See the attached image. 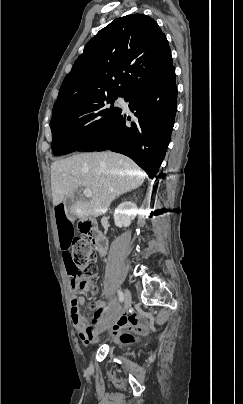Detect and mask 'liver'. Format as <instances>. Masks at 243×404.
Here are the masks:
<instances>
[{
	"label": "liver",
	"instance_id": "1",
	"mask_svg": "<svg viewBox=\"0 0 243 404\" xmlns=\"http://www.w3.org/2000/svg\"><path fill=\"white\" fill-rule=\"evenodd\" d=\"M146 178L130 158L114 152L77 154L51 166V190L54 206L72 196L79 186L93 192L91 202H75L72 214L85 222L90 216H101L111 202L142 186Z\"/></svg>",
	"mask_w": 243,
	"mask_h": 404
}]
</instances>
